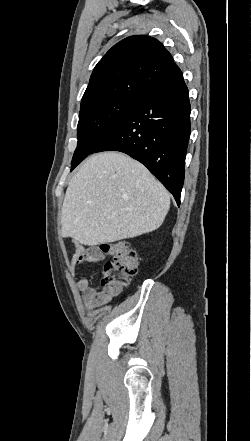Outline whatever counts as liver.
<instances>
[{
	"label": "liver",
	"mask_w": 251,
	"mask_h": 441,
	"mask_svg": "<svg viewBox=\"0 0 251 441\" xmlns=\"http://www.w3.org/2000/svg\"><path fill=\"white\" fill-rule=\"evenodd\" d=\"M170 196L138 161L109 151L89 157L70 181L61 233L86 246L133 238L158 229Z\"/></svg>",
	"instance_id": "6515ba94"
}]
</instances>
